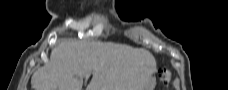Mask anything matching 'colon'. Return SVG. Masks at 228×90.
<instances>
[{"instance_id": "obj_1", "label": "colon", "mask_w": 228, "mask_h": 90, "mask_svg": "<svg viewBox=\"0 0 228 90\" xmlns=\"http://www.w3.org/2000/svg\"><path fill=\"white\" fill-rule=\"evenodd\" d=\"M161 73L165 83H168L170 80V71L166 68H163Z\"/></svg>"}]
</instances>
